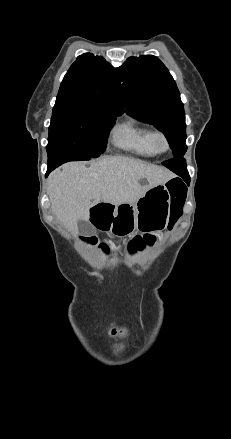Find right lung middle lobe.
I'll return each mask as SVG.
<instances>
[{"label":"right lung middle lobe","instance_id":"right-lung-middle-lobe-1","mask_svg":"<svg viewBox=\"0 0 231 439\" xmlns=\"http://www.w3.org/2000/svg\"><path fill=\"white\" fill-rule=\"evenodd\" d=\"M121 109L53 108L49 127L48 162L89 160L105 151L108 133Z\"/></svg>","mask_w":231,"mask_h":439}]
</instances>
